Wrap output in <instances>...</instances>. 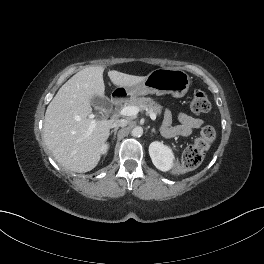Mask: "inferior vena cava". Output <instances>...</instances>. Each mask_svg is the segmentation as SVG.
<instances>
[{"label":"inferior vena cava","mask_w":264,"mask_h":264,"mask_svg":"<svg viewBox=\"0 0 264 264\" xmlns=\"http://www.w3.org/2000/svg\"><path fill=\"white\" fill-rule=\"evenodd\" d=\"M127 125L126 120H116L112 124V128L125 127Z\"/></svg>","instance_id":"obj_1"}]
</instances>
